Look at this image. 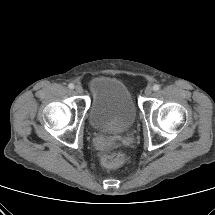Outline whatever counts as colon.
Listing matches in <instances>:
<instances>
[{"mask_svg": "<svg viewBox=\"0 0 215 215\" xmlns=\"http://www.w3.org/2000/svg\"><path fill=\"white\" fill-rule=\"evenodd\" d=\"M125 155L121 152L105 155L102 157V165L107 169H115L125 161Z\"/></svg>", "mask_w": 215, "mask_h": 215, "instance_id": "colon-1", "label": "colon"}]
</instances>
